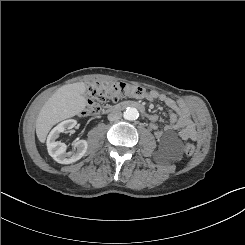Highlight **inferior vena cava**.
<instances>
[{
  "instance_id": "obj_1",
  "label": "inferior vena cava",
  "mask_w": 245,
  "mask_h": 245,
  "mask_svg": "<svg viewBox=\"0 0 245 245\" xmlns=\"http://www.w3.org/2000/svg\"><path fill=\"white\" fill-rule=\"evenodd\" d=\"M122 117L120 110H113L108 114L109 121H118Z\"/></svg>"
}]
</instances>
